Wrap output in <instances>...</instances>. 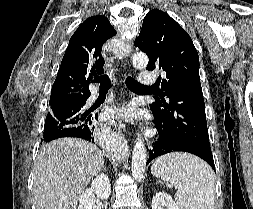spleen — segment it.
<instances>
[{
    "label": "spleen",
    "instance_id": "3e777b00",
    "mask_svg": "<svg viewBox=\"0 0 253 209\" xmlns=\"http://www.w3.org/2000/svg\"><path fill=\"white\" fill-rule=\"evenodd\" d=\"M151 173L174 185L179 209H214V173L200 158L187 153L166 154L155 160Z\"/></svg>",
    "mask_w": 253,
    "mask_h": 209
}]
</instances>
